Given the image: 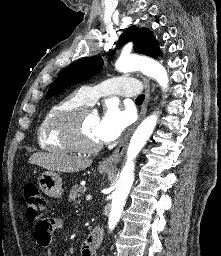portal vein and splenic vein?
<instances>
[{
	"label": "portal vein and splenic vein",
	"instance_id": "portal-vein-and-splenic-vein-1",
	"mask_svg": "<svg viewBox=\"0 0 221 256\" xmlns=\"http://www.w3.org/2000/svg\"><path fill=\"white\" fill-rule=\"evenodd\" d=\"M86 200H87V201H91V200H92V196H91L90 194H88V195L86 196Z\"/></svg>",
	"mask_w": 221,
	"mask_h": 256
}]
</instances>
